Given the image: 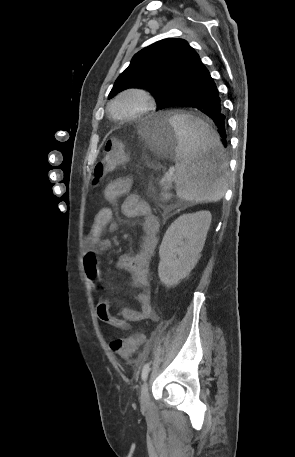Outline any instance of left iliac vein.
<instances>
[{
  "instance_id": "obj_1",
  "label": "left iliac vein",
  "mask_w": 295,
  "mask_h": 457,
  "mask_svg": "<svg viewBox=\"0 0 295 457\" xmlns=\"http://www.w3.org/2000/svg\"><path fill=\"white\" fill-rule=\"evenodd\" d=\"M150 401V396H149V387L148 383L145 382L142 387H141V393H140V404L142 407H147Z\"/></svg>"
}]
</instances>
